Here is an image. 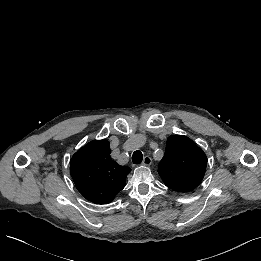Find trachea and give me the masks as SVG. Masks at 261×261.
I'll list each match as a JSON object with an SVG mask.
<instances>
[{
	"instance_id": "obj_1",
	"label": "trachea",
	"mask_w": 261,
	"mask_h": 261,
	"mask_svg": "<svg viewBox=\"0 0 261 261\" xmlns=\"http://www.w3.org/2000/svg\"><path fill=\"white\" fill-rule=\"evenodd\" d=\"M142 160H143V154L139 150L135 151L132 155V162L135 165H138L142 162Z\"/></svg>"
}]
</instances>
